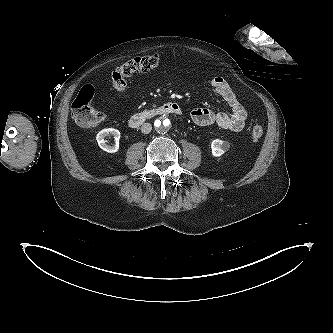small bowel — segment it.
<instances>
[{
  "label": "small bowel",
  "mask_w": 333,
  "mask_h": 333,
  "mask_svg": "<svg viewBox=\"0 0 333 333\" xmlns=\"http://www.w3.org/2000/svg\"><path fill=\"white\" fill-rule=\"evenodd\" d=\"M212 90L220 95L230 107V112H216L207 107L195 108L190 116L199 126L217 125L232 132H240L245 125L247 112L240 103L230 84L223 77H215L210 82Z\"/></svg>",
  "instance_id": "c3829d8e"
}]
</instances>
